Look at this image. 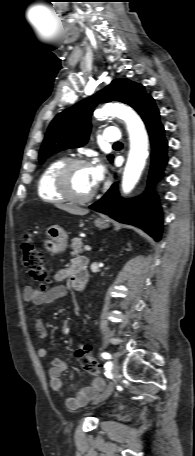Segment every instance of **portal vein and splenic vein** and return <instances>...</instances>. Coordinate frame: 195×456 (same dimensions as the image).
I'll use <instances>...</instances> for the list:
<instances>
[{
  "instance_id": "portal-vein-and-splenic-vein-1",
  "label": "portal vein and splenic vein",
  "mask_w": 195,
  "mask_h": 456,
  "mask_svg": "<svg viewBox=\"0 0 195 456\" xmlns=\"http://www.w3.org/2000/svg\"><path fill=\"white\" fill-rule=\"evenodd\" d=\"M84 249H85L86 251H91V247L88 246V245H85V246H84Z\"/></svg>"
}]
</instances>
